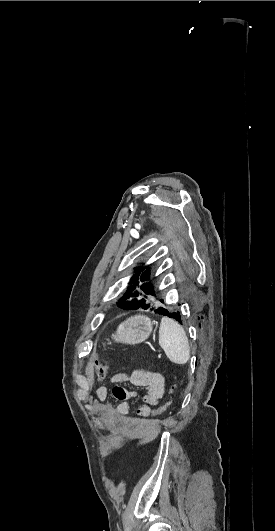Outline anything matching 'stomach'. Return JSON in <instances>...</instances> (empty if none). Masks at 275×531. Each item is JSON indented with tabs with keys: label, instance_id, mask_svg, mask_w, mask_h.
Masks as SVG:
<instances>
[{
	"label": "stomach",
	"instance_id": "obj_1",
	"mask_svg": "<svg viewBox=\"0 0 275 531\" xmlns=\"http://www.w3.org/2000/svg\"><path fill=\"white\" fill-rule=\"evenodd\" d=\"M155 323L146 315H134L129 317L124 323H120L111 339L115 343H127V345H137L143 343L150 337Z\"/></svg>",
	"mask_w": 275,
	"mask_h": 531
}]
</instances>
